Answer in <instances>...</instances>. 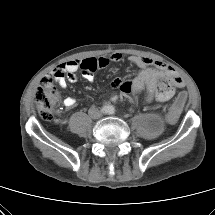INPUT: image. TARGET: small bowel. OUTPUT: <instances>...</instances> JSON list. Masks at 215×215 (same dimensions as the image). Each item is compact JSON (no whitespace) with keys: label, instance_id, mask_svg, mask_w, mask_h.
<instances>
[{"label":"small bowel","instance_id":"obj_1","mask_svg":"<svg viewBox=\"0 0 215 215\" xmlns=\"http://www.w3.org/2000/svg\"><path fill=\"white\" fill-rule=\"evenodd\" d=\"M121 60L122 55L119 53H114L109 57L70 60L47 74L43 79V83L46 79L52 78L60 87L66 88L68 82H76V72L78 70L83 72L88 82H93L96 70L105 68L110 62H119ZM129 62L140 69L137 76L132 81L123 82L117 78L112 83L114 87L119 88L124 93L137 94L145 92L146 101L149 102L155 99L164 102L173 96L176 88L184 86L183 80L175 74L170 66L163 62L141 56H130ZM167 83L171 84L169 90L165 88ZM63 104L67 109H70L76 105V99L67 97L64 99Z\"/></svg>","mask_w":215,"mask_h":215}]
</instances>
